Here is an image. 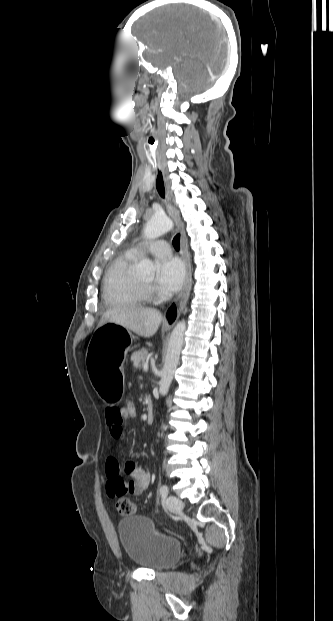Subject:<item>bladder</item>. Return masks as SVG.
<instances>
[{
	"label": "bladder",
	"instance_id": "1",
	"mask_svg": "<svg viewBox=\"0 0 333 621\" xmlns=\"http://www.w3.org/2000/svg\"><path fill=\"white\" fill-rule=\"evenodd\" d=\"M120 544L133 563L154 571L175 564L181 556V544L157 530L144 516H128L118 522Z\"/></svg>",
	"mask_w": 333,
	"mask_h": 621
}]
</instances>
